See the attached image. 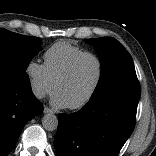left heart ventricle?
Segmentation results:
<instances>
[{"instance_id":"obj_1","label":"left heart ventricle","mask_w":156,"mask_h":156,"mask_svg":"<svg viewBox=\"0 0 156 156\" xmlns=\"http://www.w3.org/2000/svg\"><path fill=\"white\" fill-rule=\"evenodd\" d=\"M98 73L99 67L96 60L85 57L78 62L71 76L62 82L56 91L68 106L79 103L95 85Z\"/></svg>"}]
</instances>
